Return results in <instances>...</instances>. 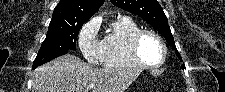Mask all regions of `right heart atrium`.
<instances>
[{
    "mask_svg": "<svg viewBox=\"0 0 225 92\" xmlns=\"http://www.w3.org/2000/svg\"><path fill=\"white\" fill-rule=\"evenodd\" d=\"M78 46L87 62H101L102 40L99 37V24L96 19H91L82 26L78 34Z\"/></svg>",
    "mask_w": 225,
    "mask_h": 92,
    "instance_id": "obj_1",
    "label": "right heart atrium"
}]
</instances>
